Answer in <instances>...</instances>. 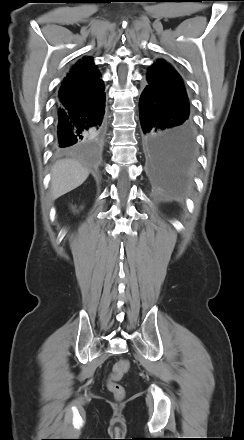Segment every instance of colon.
I'll list each match as a JSON object with an SVG mask.
<instances>
[{
    "instance_id": "1",
    "label": "colon",
    "mask_w": 244,
    "mask_h": 440,
    "mask_svg": "<svg viewBox=\"0 0 244 440\" xmlns=\"http://www.w3.org/2000/svg\"><path fill=\"white\" fill-rule=\"evenodd\" d=\"M128 368H129L128 361H126L124 359L119 360L114 365L113 370H112V372L109 375V378H108V381H107V388L114 395V397L117 400H121L125 396V389L119 383V380L127 372Z\"/></svg>"
}]
</instances>
